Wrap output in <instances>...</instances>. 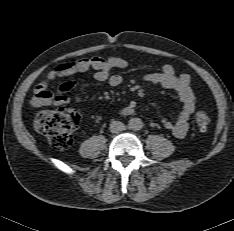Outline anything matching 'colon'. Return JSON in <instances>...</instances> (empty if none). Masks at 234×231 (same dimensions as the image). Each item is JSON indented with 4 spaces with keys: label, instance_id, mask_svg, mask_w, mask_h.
<instances>
[{
    "label": "colon",
    "instance_id": "5ec220e1",
    "mask_svg": "<svg viewBox=\"0 0 234 231\" xmlns=\"http://www.w3.org/2000/svg\"><path fill=\"white\" fill-rule=\"evenodd\" d=\"M195 125L200 132H206L211 118L206 110L195 114ZM80 124V115L69 107L56 110H42L34 117L35 129L45 135L53 148L64 150L72 143V133Z\"/></svg>",
    "mask_w": 234,
    "mask_h": 231
}]
</instances>
